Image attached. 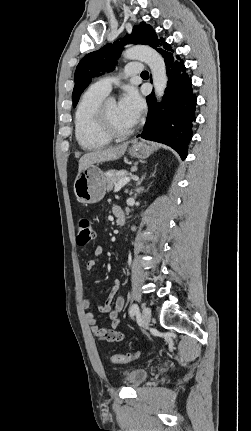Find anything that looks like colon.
<instances>
[{
    "label": "colon",
    "instance_id": "colon-1",
    "mask_svg": "<svg viewBox=\"0 0 251 431\" xmlns=\"http://www.w3.org/2000/svg\"><path fill=\"white\" fill-rule=\"evenodd\" d=\"M76 241L79 246L90 244L95 238V229L90 219L81 217L77 221ZM140 356L139 351L129 352L126 354H116L111 357V361L116 364H125L136 360Z\"/></svg>",
    "mask_w": 251,
    "mask_h": 431
}]
</instances>
